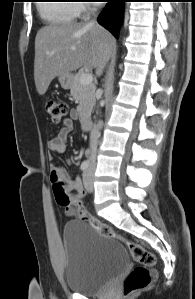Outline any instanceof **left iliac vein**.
<instances>
[{
  "mask_svg": "<svg viewBox=\"0 0 195 299\" xmlns=\"http://www.w3.org/2000/svg\"><path fill=\"white\" fill-rule=\"evenodd\" d=\"M94 165L90 166L87 171H85L83 175V180H84V186L87 190V192H92L93 191V170H94Z\"/></svg>",
  "mask_w": 195,
  "mask_h": 299,
  "instance_id": "4c4485c4",
  "label": "left iliac vein"
}]
</instances>
